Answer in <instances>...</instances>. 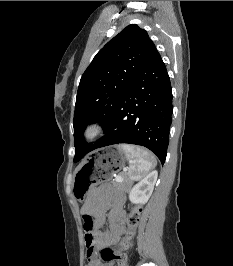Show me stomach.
<instances>
[{
  "label": "stomach",
  "mask_w": 233,
  "mask_h": 266,
  "mask_svg": "<svg viewBox=\"0 0 233 266\" xmlns=\"http://www.w3.org/2000/svg\"><path fill=\"white\" fill-rule=\"evenodd\" d=\"M126 159L120 146L95 147V152H89L87 161H82L76 170L73 195L82 200L93 185H102V180H113V176L122 172Z\"/></svg>",
  "instance_id": "stomach-1"
}]
</instances>
